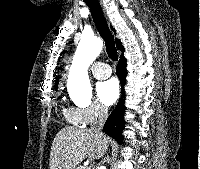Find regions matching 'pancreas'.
<instances>
[{"instance_id":"1","label":"pancreas","mask_w":200,"mask_h":169,"mask_svg":"<svg viewBox=\"0 0 200 169\" xmlns=\"http://www.w3.org/2000/svg\"><path fill=\"white\" fill-rule=\"evenodd\" d=\"M76 169H87V168H85V167H83V166H79V167H77Z\"/></svg>"}]
</instances>
